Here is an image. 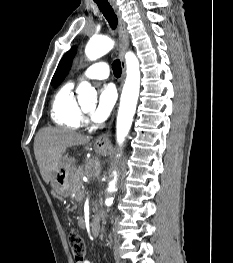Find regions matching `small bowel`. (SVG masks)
Returning a JSON list of instances; mask_svg holds the SVG:
<instances>
[{
  "instance_id": "small-bowel-1",
  "label": "small bowel",
  "mask_w": 233,
  "mask_h": 263,
  "mask_svg": "<svg viewBox=\"0 0 233 263\" xmlns=\"http://www.w3.org/2000/svg\"><path fill=\"white\" fill-rule=\"evenodd\" d=\"M81 263H91L88 259H84Z\"/></svg>"
}]
</instances>
